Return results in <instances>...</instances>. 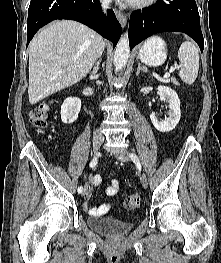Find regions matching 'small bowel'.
<instances>
[{
    "mask_svg": "<svg viewBox=\"0 0 221 263\" xmlns=\"http://www.w3.org/2000/svg\"><path fill=\"white\" fill-rule=\"evenodd\" d=\"M89 180L92 184L94 185H98L102 182V177L99 175H89ZM119 188V184L118 181L116 179H112L110 184L107 186L105 193L107 196H114ZM91 195L90 191L87 192V198H89ZM112 203H106V204H102L98 207H89V206H85L86 209L88 210V212L92 215H102L105 214L106 212L109 211V209L111 208Z\"/></svg>",
    "mask_w": 221,
    "mask_h": 263,
    "instance_id": "c3829d8e",
    "label": "small bowel"
}]
</instances>
